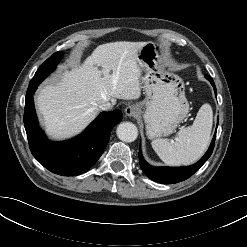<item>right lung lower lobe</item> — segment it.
Returning <instances> with one entry per match:
<instances>
[{"label": "right lung lower lobe", "instance_id": "98d812e1", "mask_svg": "<svg viewBox=\"0 0 247 247\" xmlns=\"http://www.w3.org/2000/svg\"><path fill=\"white\" fill-rule=\"evenodd\" d=\"M38 85L30 81L24 110V125L32 155L55 174L76 176L86 172L101 157L111 130L121 121L122 113L119 110L103 112L76 138L51 142L37 124L33 94Z\"/></svg>", "mask_w": 247, "mask_h": 247}]
</instances>
